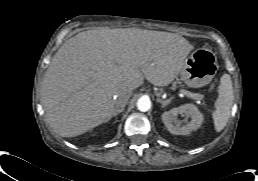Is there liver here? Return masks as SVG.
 I'll list each match as a JSON object with an SVG mask.
<instances>
[{"mask_svg":"<svg viewBox=\"0 0 258 181\" xmlns=\"http://www.w3.org/2000/svg\"><path fill=\"white\" fill-rule=\"evenodd\" d=\"M193 49L168 32L100 28L77 34L58 49L43 79L48 124L62 137H75L107 122L116 100L144 78L170 84Z\"/></svg>","mask_w":258,"mask_h":181,"instance_id":"6515ba94","label":"liver"}]
</instances>
